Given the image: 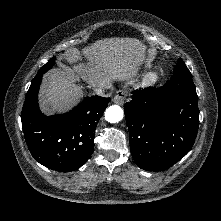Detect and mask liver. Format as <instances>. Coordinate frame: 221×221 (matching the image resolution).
Wrapping results in <instances>:
<instances>
[{
  "label": "liver",
  "mask_w": 221,
  "mask_h": 221,
  "mask_svg": "<svg viewBox=\"0 0 221 221\" xmlns=\"http://www.w3.org/2000/svg\"><path fill=\"white\" fill-rule=\"evenodd\" d=\"M146 46L135 38H106L82 51L72 50L68 57L73 69L65 67L47 74L40 91L41 109L45 113L64 111L83 96L75 84L80 76L93 88L112 81H126L136 75L145 58ZM84 56L88 65L82 62Z\"/></svg>",
  "instance_id": "obj_1"
}]
</instances>
